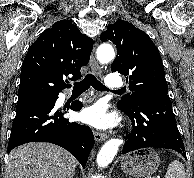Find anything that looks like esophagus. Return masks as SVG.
<instances>
[{
    "label": "esophagus",
    "instance_id": "1",
    "mask_svg": "<svg viewBox=\"0 0 194 178\" xmlns=\"http://www.w3.org/2000/svg\"><path fill=\"white\" fill-rule=\"evenodd\" d=\"M90 67H91L92 72H94L95 74L97 75L101 74V68L94 56V53H92L91 58H90ZM94 137L96 141L100 142V141L106 140L108 138V135L106 133L94 131Z\"/></svg>",
    "mask_w": 194,
    "mask_h": 178
}]
</instances>
